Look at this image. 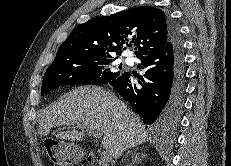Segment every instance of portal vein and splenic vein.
Returning <instances> with one entry per match:
<instances>
[{
  "mask_svg": "<svg viewBox=\"0 0 231 166\" xmlns=\"http://www.w3.org/2000/svg\"><path fill=\"white\" fill-rule=\"evenodd\" d=\"M92 133H93V135L95 137L100 138V133H98V132H92ZM110 160H111V156L108 153V151H103L101 153V161L104 162V163H106V164H108L110 162Z\"/></svg>",
  "mask_w": 231,
  "mask_h": 166,
  "instance_id": "portal-vein-and-splenic-vein-1",
  "label": "portal vein and splenic vein"
}]
</instances>
